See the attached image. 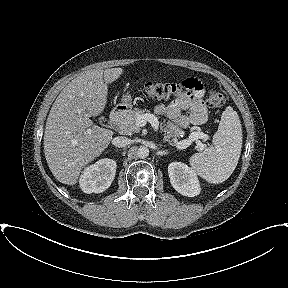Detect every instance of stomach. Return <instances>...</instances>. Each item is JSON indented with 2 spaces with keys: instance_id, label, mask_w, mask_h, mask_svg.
I'll use <instances>...</instances> for the list:
<instances>
[{
  "instance_id": "0dacf381",
  "label": "stomach",
  "mask_w": 288,
  "mask_h": 288,
  "mask_svg": "<svg viewBox=\"0 0 288 288\" xmlns=\"http://www.w3.org/2000/svg\"><path fill=\"white\" fill-rule=\"evenodd\" d=\"M131 100V95L129 93L124 94L122 96L121 102L116 106L117 110L121 112H128L132 107Z\"/></svg>"
}]
</instances>
